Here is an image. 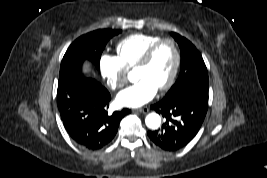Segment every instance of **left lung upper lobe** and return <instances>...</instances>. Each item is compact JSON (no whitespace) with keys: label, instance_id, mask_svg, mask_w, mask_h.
Instances as JSON below:
<instances>
[{"label":"left lung upper lobe","instance_id":"5c2ea615","mask_svg":"<svg viewBox=\"0 0 267 178\" xmlns=\"http://www.w3.org/2000/svg\"><path fill=\"white\" fill-rule=\"evenodd\" d=\"M181 50L180 74L165 97L176 95L186 89L208 92V72L200 52L186 38L172 33Z\"/></svg>","mask_w":267,"mask_h":178}]
</instances>
